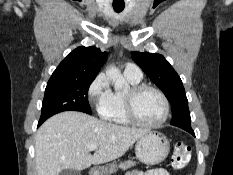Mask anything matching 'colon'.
<instances>
[{
  "mask_svg": "<svg viewBox=\"0 0 233 175\" xmlns=\"http://www.w3.org/2000/svg\"><path fill=\"white\" fill-rule=\"evenodd\" d=\"M191 157V148L186 143H177L174 145L171 165L174 170H182L189 162Z\"/></svg>",
  "mask_w": 233,
  "mask_h": 175,
  "instance_id": "5ec220e1",
  "label": "colon"
}]
</instances>
